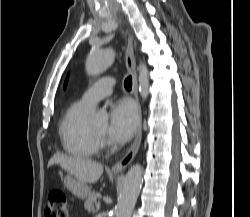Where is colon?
<instances>
[{"label":"colon","instance_id":"obj_1","mask_svg":"<svg viewBox=\"0 0 250 217\" xmlns=\"http://www.w3.org/2000/svg\"><path fill=\"white\" fill-rule=\"evenodd\" d=\"M45 217H69V204L62 190H52L44 206Z\"/></svg>","mask_w":250,"mask_h":217}]
</instances>
